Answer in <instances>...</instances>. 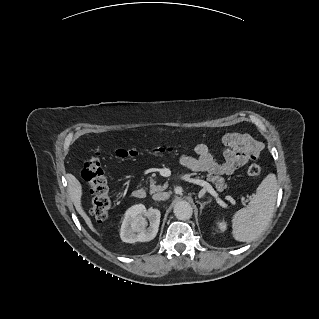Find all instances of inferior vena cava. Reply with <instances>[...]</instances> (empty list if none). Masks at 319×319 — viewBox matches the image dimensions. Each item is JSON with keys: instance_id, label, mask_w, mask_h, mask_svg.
<instances>
[{"instance_id": "1", "label": "inferior vena cava", "mask_w": 319, "mask_h": 319, "mask_svg": "<svg viewBox=\"0 0 319 319\" xmlns=\"http://www.w3.org/2000/svg\"><path fill=\"white\" fill-rule=\"evenodd\" d=\"M170 197V194L168 192H158L152 196L153 200L156 201H164L167 200Z\"/></svg>"}]
</instances>
